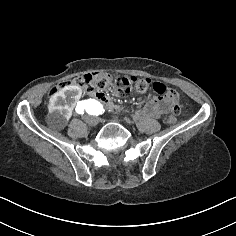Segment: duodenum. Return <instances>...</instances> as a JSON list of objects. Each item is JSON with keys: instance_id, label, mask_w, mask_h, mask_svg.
Returning <instances> with one entry per match:
<instances>
[{"instance_id": "410a0bca", "label": "duodenum", "mask_w": 236, "mask_h": 236, "mask_svg": "<svg viewBox=\"0 0 236 236\" xmlns=\"http://www.w3.org/2000/svg\"><path fill=\"white\" fill-rule=\"evenodd\" d=\"M90 96L98 102L104 110L110 113H121L123 111V106L115 103L106 93L102 91H96L90 94Z\"/></svg>"}]
</instances>
